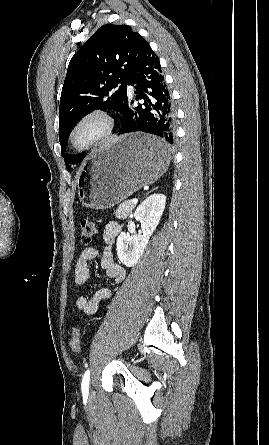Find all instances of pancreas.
<instances>
[{
	"label": "pancreas",
	"instance_id": "cf45deb5",
	"mask_svg": "<svg viewBox=\"0 0 269 445\" xmlns=\"http://www.w3.org/2000/svg\"><path fill=\"white\" fill-rule=\"evenodd\" d=\"M134 208L135 205L131 201H125L119 205L114 214L118 219H126Z\"/></svg>",
	"mask_w": 269,
	"mask_h": 445
}]
</instances>
